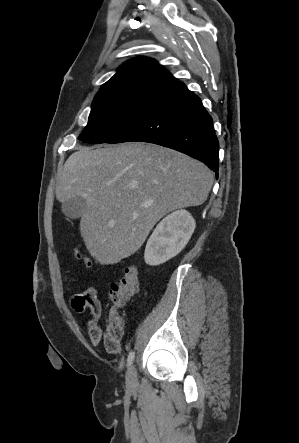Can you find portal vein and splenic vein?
<instances>
[{
  "mask_svg": "<svg viewBox=\"0 0 299 443\" xmlns=\"http://www.w3.org/2000/svg\"><path fill=\"white\" fill-rule=\"evenodd\" d=\"M151 204H152V202H146L142 205V207H147V206H150Z\"/></svg>",
  "mask_w": 299,
  "mask_h": 443,
  "instance_id": "portal-vein-and-splenic-vein-1",
  "label": "portal vein and splenic vein"
}]
</instances>
